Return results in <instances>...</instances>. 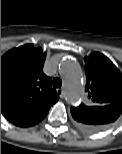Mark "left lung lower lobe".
Instances as JSON below:
<instances>
[{
    "mask_svg": "<svg viewBox=\"0 0 122 154\" xmlns=\"http://www.w3.org/2000/svg\"><path fill=\"white\" fill-rule=\"evenodd\" d=\"M122 106H86L81 108L78 114L77 125L86 131H100L113 123L121 114Z\"/></svg>",
    "mask_w": 122,
    "mask_h": 154,
    "instance_id": "obj_1",
    "label": "left lung lower lobe"
}]
</instances>
